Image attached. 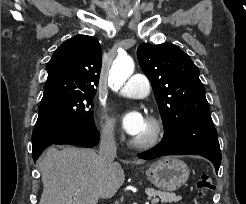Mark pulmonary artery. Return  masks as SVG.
<instances>
[{"instance_id": "pulmonary-artery-1", "label": "pulmonary artery", "mask_w": 246, "mask_h": 204, "mask_svg": "<svg viewBox=\"0 0 246 204\" xmlns=\"http://www.w3.org/2000/svg\"><path fill=\"white\" fill-rule=\"evenodd\" d=\"M150 83L143 74H134L119 90V94L129 98H142L149 94Z\"/></svg>"}]
</instances>
